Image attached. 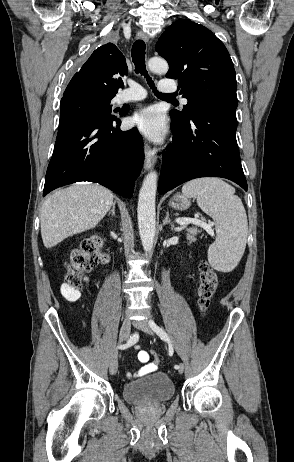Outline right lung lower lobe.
I'll use <instances>...</instances> for the list:
<instances>
[{
  "mask_svg": "<svg viewBox=\"0 0 294 462\" xmlns=\"http://www.w3.org/2000/svg\"><path fill=\"white\" fill-rule=\"evenodd\" d=\"M120 123L97 119L59 126L43 196L64 185L90 181L132 197L144 160L143 141L136 128L123 132Z\"/></svg>",
  "mask_w": 294,
  "mask_h": 462,
  "instance_id": "obj_1",
  "label": "right lung lower lobe"
}]
</instances>
